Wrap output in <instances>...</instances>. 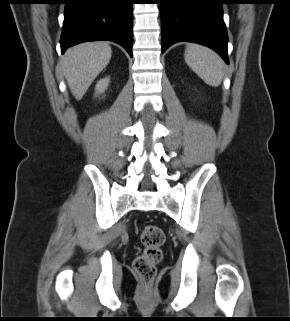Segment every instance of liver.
Wrapping results in <instances>:
<instances>
[{
  "instance_id": "liver-1",
  "label": "liver",
  "mask_w": 290,
  "mask_h": 321,
  "mask_svg": "<svg viewBox=\"0 0 290 321\" xmlns=\"http://www.w3.org/2000/svg\"><path fill=\"white\" fill-rule=\"evenodd\" d=\"M112 50L107 42H85L69 48L60 69L77 100H80L99 73L108 65Z\"/></svg>"
}]
</instances>
